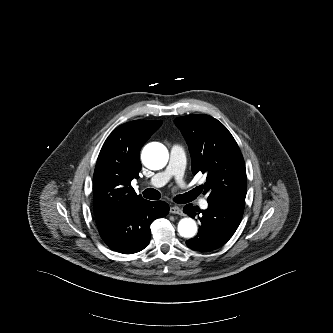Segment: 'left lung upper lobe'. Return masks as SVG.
<instances>
[{
	"label": "left lung upper lobe",
	"instance_id": "left-lung-upper-lobe-1",
	"mask_svg": "<svg viewBox=\"0 0 333 333\" xmlns=\"http://www.w3.org/2000/svg\"><path fill=\"white\" fill-rule=\"evenodd\" d=\"M189 146L192 172L206 173L197 191L208 193V202L225 197H245L247 178L240 149L227 128L208 115H189L174 120Z\"/></svg>",
	"mask_w": 333,
	"mask_h": 333
}]
</instances>
